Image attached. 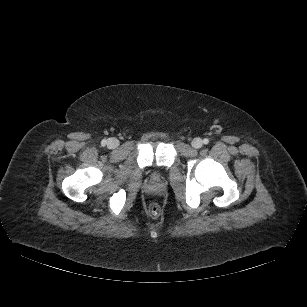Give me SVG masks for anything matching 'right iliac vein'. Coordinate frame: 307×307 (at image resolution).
<instances>
[{"label": "right iliac vein", "mask_w": 307, "mask_h": 307, "mask_svg": "<svg viewBox=\"0 0 307 307\" xmlns=\"http://www.w3.org/2000/svg\"><path fill=\"white\" fill-rule=\"evenodd\" d=\"M107 146L110 149H115L119 146V140L116 139V138H110V139H108Z\"/></svg>", "instance_id": "1"}]
</instances>
